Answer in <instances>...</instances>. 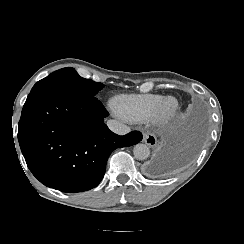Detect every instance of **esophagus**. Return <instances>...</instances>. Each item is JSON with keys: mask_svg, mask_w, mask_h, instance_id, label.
Wrapping results in <instances>:
<instances>
[{"mask_svg": "<svg viewBox=\"0 0 244 244\" xmlns=\"http://www.w3.org/2000/svg\"><path fill=\"white\" fill-rule=\"evenodd\" d=\"M142 142L147 144L149 147H154L157 144V138L153 133L145 132V133H143Z\"/></svg>", "mask_w": 244, "mask_h": 244, "instance_id": "esophagus-1", "label": "esophagus"}]
</instances>
